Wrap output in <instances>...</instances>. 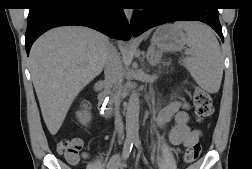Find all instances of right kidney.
<instances>
[{"label":"right kidney","mask_w":252,"mask_h":169,"mask_svg":"<svg viewBox=\"0 0 252 169\" xmlns=\"http://www.w3.org/2000/svg\"><path fill=\"white\" fill-rule=\"evenodd\" d=\"M80 122L86 125L91 120V114L87 111H83V113L79 114Z\"/></svg>","instance_id":"ca27d5eb"}]
</instances>
